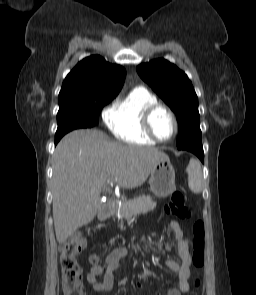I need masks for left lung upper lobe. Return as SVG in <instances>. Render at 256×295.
I'll use <instances>...</instances> for the list:
<instances>
[{
  "mask_svg": "<svg viewBox=\"0 0 256 295\" xmlns=\"http://www.w3.org/2000/svg\"><path fill=\"white\" fill-rule=\"evenodd\" d=\"M137 72L176 113L179 123L178 149L202 145L198 98L187 75L164 59L141 64Z\"/></svg>",
  "mask_w": 256,
  "mask_h": 295,
  "instance_id": "5c2ea615",
  "label": "left lung upper lobe"
}]
</instances>
